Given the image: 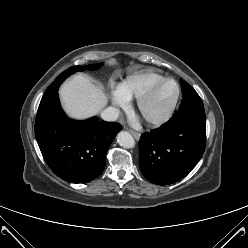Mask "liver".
I'll return each instance as SVG.
<instances>
[{
  "label": "liver",
  "mask_w": 248,
  "mask_h": 248,
  "mask_svg": "<svg viewBox=\"0 0 248 248\" xmlns=\"http://www.w3.org/2000/svg\"><path fill=\"white\" fill-rule=\"evenodd\" d=\"M59 94L65 111L77 119L99 113L107 103V97L101 87L83 75H76L65 82Z\"/></svg>",
  "instance_id": "obj_1"
}]
</instances>
